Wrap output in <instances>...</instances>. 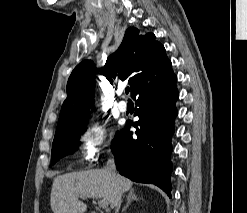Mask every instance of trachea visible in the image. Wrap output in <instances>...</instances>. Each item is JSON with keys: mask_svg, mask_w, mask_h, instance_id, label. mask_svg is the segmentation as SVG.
I'll list each match as a JSON object with an SVG mask.
<instances>
[{"mask_svg": "<svg viewBox=\"0 0 247 213\" xmlns=\"http://www.w3.org/2000/svg\"><path fill=\"white\" fill-rule=\"evenodd\" d=\"M129 91H130V88H129V87H127V88L125 89L126 94H128V93H129Z\"/></svg>", "mask_w": 247, "mask_h": 213, "instance_id": "1", "label": "trachea"}]
</instances>
